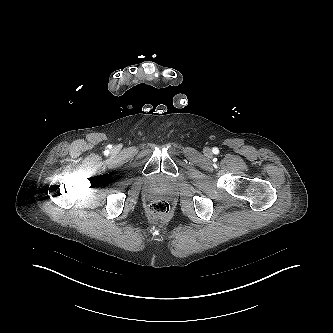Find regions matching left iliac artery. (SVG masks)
<instances>
[{"instance_id": "44dca946", "label": "left iliac artery", "mask_w": 333, "mask_h": 333, "mask_svg": "<svg viewBox=\"0 0 333 333\" xmlns=\"http://www.w3.org/2000/svg\"><path fill=\"white\" fill-rule=\"evenodd\" d=\"M219 152L218 148H213V153L217 154Z\"/></svg>"}]
</instances>
